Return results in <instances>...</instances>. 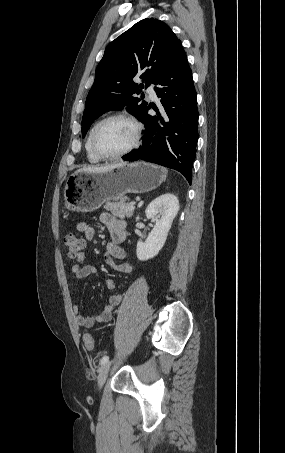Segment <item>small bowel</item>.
I'll list each match as a JSON object with an SVG mask.
<instances>
[{
    "label": "small bowel",
    "instance_id": "obj_1",
    "mask_svg": "<svg viewBox=\"0 0 285 453\" xmlns=\"http://www.w3.org/2000/svg\"><path fill=\"white\" fill-rule=\"evenodd\" d=\"M100 222L104 224L109 232L110 241L107 243L106 253L104 254V261L107 265L114 268L120 273L130 274L133 272L134 267L128 262L117 263V260H123L126 253L121 245L126 241V228L127 223L119 220L110 214L104 213L100 216ZM79 232L84 233L88 240L94 237L95 229L88 221L82 220L76 226ZM87 255L82 252L77 258V262L72 265V273L77 279H85L90 276H97L98 271L95 266L86 263ZM107 287L113 289L115 284L113 280L107 281ZM122 296L119 294H112L108 297V303L105 305L103 311L96 315L84 316L79 313L78 304L74 303L72 312L75 315V322L79 327L91 328L95 324L110 321L113 309L120 303Z\"/></svg>",
    "mask_w": 285,
    "mask_h": 453
}]
</instances>
